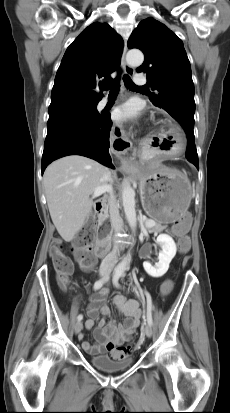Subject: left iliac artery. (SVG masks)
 Returning <instances> with one entry per match:
<instances>
[{"mask_svg": "<svg viewBox=\"0 0 230 413\" xmlns=\"http://www.w3.org/2000/svg\"><path fill=\"white\" fill-rule=\"evenodd\" d=\"M122 276H124V271L123 270H117L115 272V274L113 276V284L116 287H120L118 280ZM145 295H146V298H147V314H146L147 322L150 326H152L153 320H152V314H151V307H152L151 296L147 291H145Z\"/></svg>", "mask_w": 230, "mask_h": 413, "instance_id": "1", "label": "left iliac artery"}]
</instances>
